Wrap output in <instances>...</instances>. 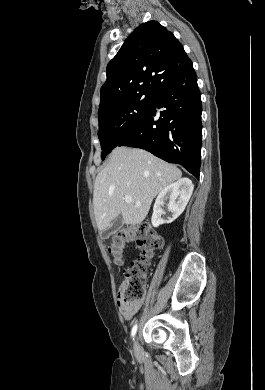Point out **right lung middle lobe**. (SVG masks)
Instances as JSON below:
<instances>
[{
	"label": "right lung middle lobe",
	"mask_w": 265,
	"mask_h": 390,
	"mask_svg": "<svg viewBox=\"0 0 265 390\" xmlns=\"http://www.w3.org/2000/svg\"><path fill=\"white\" fill-rule=\"evenodd\" d=\"M143 94L145 93L131 96L98 112L102 160L147 114L154 94H145V97H142Z\"/></svg>",
	"instance_id": "right-lung-middle-lobe-1"
}]
</instances>
